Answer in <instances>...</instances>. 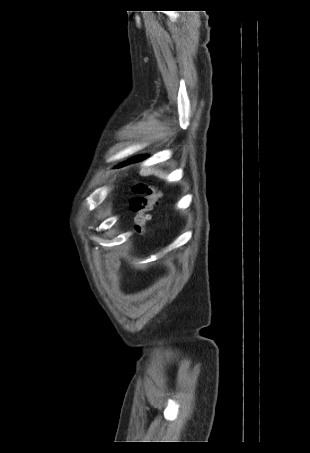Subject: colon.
Instances as JSON below:
<instances>
[{
	"mask_svg": "<svg viewBox=\"0 0 310 453\" xmlns=\"http://www.w3.org/2000/svg\"><path fill=\"white\" fill-rule=\"evenodd\" d=\"M133 192L135 196L130 205L134 213V228L139 235H145L150 213L158 205L162 193L155 186L143 182L135 184Z\"/></svg>",
	"mask_w": 310,
	"mask_h": 453,
	"instance_id": "5ec220e1",
	"label": "colon"
}]
</instances>
